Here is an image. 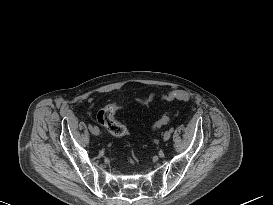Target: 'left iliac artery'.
Segmentation results:
<instances>
[{"mask_svg": "<svg viewBox=\"0 0 273 205\" xmlns=\"http://www.w3.org/2000/svg\"><path fill=\"white\" fill-rule=\"evenodd\" d=\"M169 131H170L171 133H173L174 128H173V127H171V128L169 129Z\"/></svg>", "mask_w": 273, "mask_h": 205, "instance_id": "44dca946", "label": "left iliac artery"}]
</instances>
